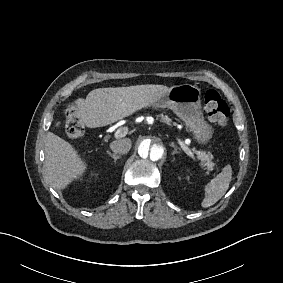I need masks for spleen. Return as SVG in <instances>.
Listing matches in <instances>:
<instances>
[{
	"mask_svg": "<svg viewBox=\"0 0 283 283\" xmlns=\"http://www.w3.org/2000/svg\"><path fill=\"white\" fill-rule=\"evenodd\" d=\"M231 179L232 168L230 165H226L222 172L206 185L205 198L201 203L202 207H210L221 199L228 190Z\"/></svg>",
	"mask_w": 283,
	"mask_h": 283,
	"instance_id": "1",
	"label": "spleen"
}]
</instances>
